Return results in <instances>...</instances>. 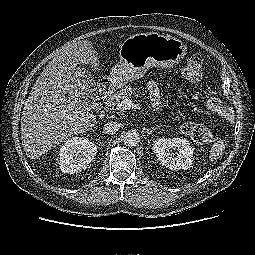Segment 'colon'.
I'll return each instance as SVG.
<instances>
[{
    "label": "colon",
    "mask_w": 255,
    "mask_h": 255,
    "mask_svg": "<svg viewBox=\"0 0 255 255\" xmlns=\"http://www.w3.org/2000/svg\"><path fill=\"white\" fill-rule=\"evenodd\" d=\"M202 67L203 59L201 55L193 54L181 71V77L190 83H197L202 77ZM208 102L216 107L220 101L218 98L212 97ZM180 130L197 143H208L213 138L211 131L206 126L191 121H182Z\"/></svg>",
    "instance_id": "1"
}]
</instances>
